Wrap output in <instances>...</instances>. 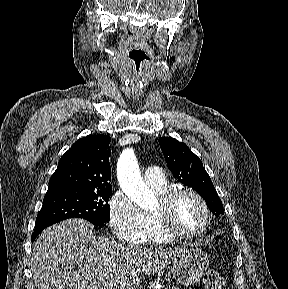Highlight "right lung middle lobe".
Masks as SVG:
<instances>
[{
    "instance_id": "dd1d6c3e",
    "label": "right lung middle lobe",
    "mask_w": 288,
    "mask_h": 289,
    "mask_svg": "<svg viewBox=\"0 0 288 289\" xmlns=\"http://www.w3.org/2000/svg\"><path fill=\"white\" fill-rule=\"evenodd\" d=\"M111 192L112 188L48 190L36 218L35 230L44 229L54 223L74 217L102 226L109 221L108 200Z\"/></svg>"
}]
</instances>
